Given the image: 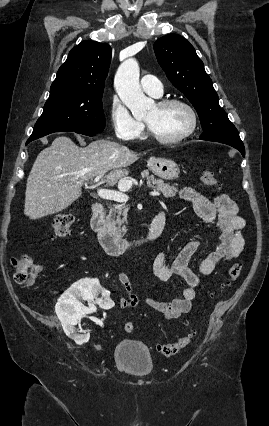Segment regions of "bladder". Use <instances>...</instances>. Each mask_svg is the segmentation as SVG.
Segmentation results:
<instances>
[{
  "label": "bladder",
  "instance_id": "bladder-1",
  "mask_svg": "<svg viewBox=\"0 0 269 426\" xmlns=\"http://www.w3.org/2000/svg\"><path fill=\"white\" fill-rule=\"evenodd\" d=\"M113 361L118 368L137 377L149 375L154 368L149 349L134 339H123L116 345Z\"/></svg>",
  "mask_w": 269,
  "mask_h": 426
}]
</instances>
